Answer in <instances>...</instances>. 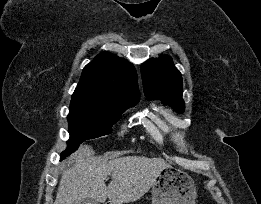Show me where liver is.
I'll list each match as a JSON object with an SVG mask.
<instances>
[{"label":"liver","instance_id":"liver-1","mask_svg":"<svg viewBox=\"0 0 261 204\" xmlns=\"http://www.w3.org/2000/svg\"><path fill=\"white\" fill-rule=\"evenodd\" d=\"M87 145L74 155V165L64 170L54 204H80L84 199L123 204L140 199L149 191L159 172L169 165L159 158L126 156L95 161ZM111 176L108 186L105 179Z\"/></svg>","mask_w":261,"mask_h":204}]
</instances>
